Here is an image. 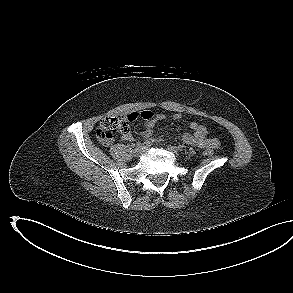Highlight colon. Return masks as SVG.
Returning <instances> with one entry per match:
<instances>
[{
    "instance_id": "1",
    "label": "colon",
    "mask_w": 293,
    "mask_h": 293,
    "mask_svg": "<svg viewBox=\"0 0 293 293\" xmlns=\"http://www.w3.org/2000/svg\"><path fill=\"white\" fill-rule=\"evenodd\" d=\"M130 121L126 117H110L104 119L96 130V136L102 143H108L114 135L130 132ZM205 154L210 156L213 149H206Z\"/></svg>"
}]
</instances>
